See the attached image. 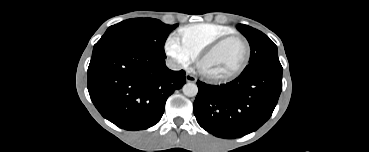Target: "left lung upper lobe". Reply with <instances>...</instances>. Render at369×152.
Wrapping results in <instances>:
<instances>
[{
  "label": "left lung upper lobe",
  "instance_id": "obj_1",
  "mask_svg": "<svg viewBox=\"0 0 369 152\" xmlns=\"http://www.w3.org/2000/svg\"><path fill=\"white\" fill-rule=\"evenodd\" d=\"M237 29L247 38L251 48L249 64L242 73H251L262 68L282 69L277 46L264 33L244 24H238Z\"/></svg>",
  "mask_w": 369,
  "mask_h": 152
}]
</instances>
